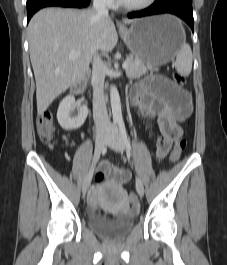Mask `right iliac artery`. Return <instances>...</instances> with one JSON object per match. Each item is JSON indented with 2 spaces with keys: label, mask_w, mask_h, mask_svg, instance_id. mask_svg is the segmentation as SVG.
<instances>
[{
  "label": "right iliac artery",
  "mask_w": 227,
  "mask_h": 265,
  "mask_svg": "<svg viewBox=\"0 0 227 265\" xmlns=\"http://www.w3.org/2000/svg\"><path fill=\"white\" fill-rule=\"evenodd\" d=\"M92 171H93V165H92V167H91V169H90L89 173H90V172H92Z\"/></svg>",
  "instance_id": "82829eb1"
}]
</instances>
